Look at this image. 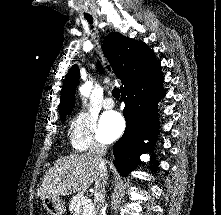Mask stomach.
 Here are the masks:
<instances>
[{
	"label": "stomach",
	"mask_w": 221,
	"mask_h": 215,
	"mask_svg": "<svg viewBox=\"0 0 221 215\" xmlns=\"http://www.w3.org/2000/svg\"><path fill=\"white\" fill-rule=\"evenodd\" d=\"M43 206L50 215H64L66 212L65 202L60 196H46L43 198Z\"/></svg>",
	"instance_id": "stomach-1"
}]
</instances>
